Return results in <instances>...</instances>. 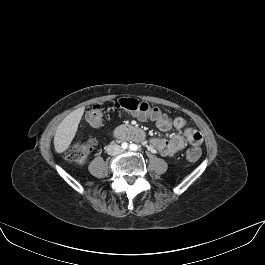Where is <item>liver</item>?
<instances>
[{"mask_svg": "<svg viewBox=\"0 0 265 265\" xmlns=\"http://www.w3.org/2000/svg\"><path fill=\"white\" fill-rule=\"evenodd\" d=\"M83 113L84 108L76 109L67 115L58 125L54 136V147L57 153H63L70 146Z\"/></svg>", "mask_w": 265, "mask_h": 265, "instance_id": "liver-1", "label": "liver"}]
</instances>
